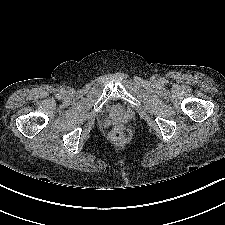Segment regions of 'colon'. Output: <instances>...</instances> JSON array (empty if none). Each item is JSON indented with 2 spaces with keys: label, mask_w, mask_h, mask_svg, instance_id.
Returning <instances> with one entry per match:
<instances>
[{
  "label": "colon",
  "mask_w": 225,
  "mask_h": 225,
  "mask_svg": "<svg viewBox=\"0 0 225 225\" xmlns=\"http://www.w3.org/2000/svg\"><path fill=\"white\" fill-rule=\"evenodd\" d=\"M130 132L125 127H114L110 132V137L114 141H125L129 138Z\"/></svg>",
  "instance_id": "colon-1"
}]
</instances>
